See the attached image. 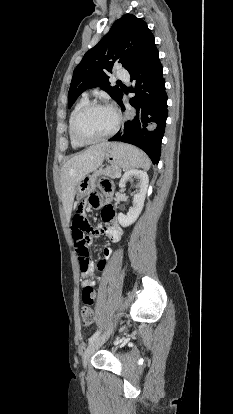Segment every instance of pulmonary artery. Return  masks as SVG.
Returning <instances> with one entry per match:
<instances>
[{"label":"pulmonary artery","mask_w":233,"mask_h":414,"mask_svg":"<svg viewBox=\"0 0 233 414\" xmlns=\"http://www.w3.org/2000/svg\"><path fill=\"white\" fill-rule=\"evenodd\" d=\"M116 76H117L119 79H123V80H128V79H129V74H128V72H127V71H125V70H119V71L116 73Z\"/></svg>","instance_id":"1"}]
</instances>
